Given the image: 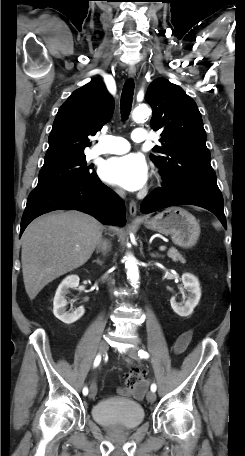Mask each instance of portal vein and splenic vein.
Wrapping results in <instances>:
<instances>
[{
    "label": "portal vein and splenic vein",
    "instance_id": "18ae733b",
    "mask_svg": "<svg viewBox=\"0 0 245 456\" xmlns=\"http://www.w3.org/2000/svg\"><path fill=\"white\" fill-rule=\"evenodd\" d=\"M159 249H160V251H165L166 250V246H160Z\"/></svg>",
    "mask_w": 245,
    "mask_h": 456
}]
</instances>
